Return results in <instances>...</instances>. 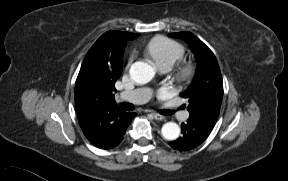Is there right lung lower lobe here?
<instances>
[{
  "label": "right lung lower lobe",
  "instance_id": "98d812e1",
  "mask_svg": "<svg viewBox=\"0 0 288 181\" xmlns=\"http://www.w3.org/2000/svg\"><path fill=\"white\" fill-rule=\"evenodd\" d=\"M135 116H136V113H134V112H128V113H126V116H125V118H124L123 126L120 128V134H119L120 139H119L118 144L122 141L123 136H124V134H125V131H126L127 127L129 126V124L131 123L132 119H133ZM118 144H117V145H118ZM117 145H116V146H117Z\"/></svg>",
  "mask_w": 288,
  "mask_h": 181
}]
</instances>
